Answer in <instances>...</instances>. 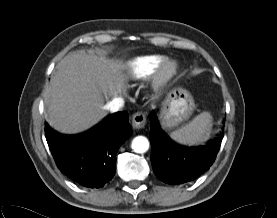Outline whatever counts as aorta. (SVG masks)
Returning <instances> with one entry per match:
<instances>
[{
    "mask_svg": "<svg viewBox=\"0 0 277 218\" xmlns=\"http://www.w3.org/2000/svg\"><path fill=\"white\" fill-rule=\"evenodd\" d=\"M131 147L134 152L142 154L149 149V141L144 136H137L133 139Z\"/></svg>",
    "mask_w": 277,
    "mask_h": 218,
    "instance_id": "762f6f07",
    "label": "aorta"
}]
</instances>
